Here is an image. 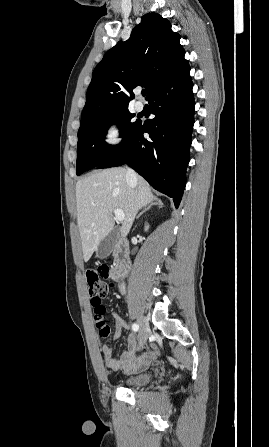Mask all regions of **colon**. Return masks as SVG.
<instances>
[{
	"label": "colon",
	"mask_w": 269,
	"mask_h": 447,
	"mask_svg": "<svg viewBox=\"0 0 269 447\" xmlns=\"http://www.w3.org/2000/svg\"><path fill=\"white\" fill-rule=\"evenodd\" d=\"M100 267H107V263L97 262L95 266H88L85 278L88 294L90 295L89 301L92 306L95 307L96 311L93 313V318L98 319V322L95 325L97 330V338L107 339L111 338L113 333L111 331H107L109 328L108 323L102 322V314L105 312V309L102 307L100 298L105 297L108 294V284L98 274V269Z\"/></svg>",
	"instance_id": "1"
}]
</instances>
